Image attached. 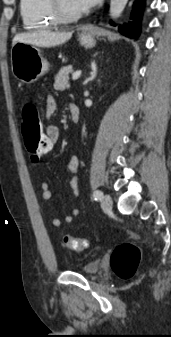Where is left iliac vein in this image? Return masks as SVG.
I'll use <instances>...</instances> for the list:
<instances>
[{"label":"left iliac vein","instance_id":"obj_1","mask_svg":"<svg viewBox=\"0 0 171 337\" xmlns=\"http://www.w3.org/2000/svg\"><path fill=\"white\" fill-rule=\"evenodd\" d=\"M101 206L103 210L105 211H111L112 210V198L109 194H106L102 198Z\"/></svg>","mask_w":171,"mask_h":337}]
</instances>
